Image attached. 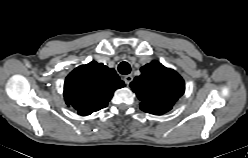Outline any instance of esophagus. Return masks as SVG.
Returning a JSON list of instances; mask_svg holds the SVG:
<instances>
[{"mask_svg": "<svg viewBox=\"0 0 248 158\" xmlns=\"http://www.w3.org/2000/svg\"><path fill=\"white\" fill-rule=\"evenodd\" d=\"M133 80V76L131 74L124 76V82L129 85Z\"/></svg>", "mask_w": 248, "mask_h": 158, "instance_id": "1", "label": "esophagus"}]
</instances>
